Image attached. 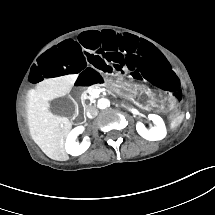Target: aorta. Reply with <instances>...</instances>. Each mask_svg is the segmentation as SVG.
<instances>
[{"label": "aorta", "instance_id": "762f6f07", "mask_svg": "<svg viewBox=\"0 0 215 215\" xmlns=\"http://www.w3.org/2000/svg\"><path fill=\"white\" fill-rule=\"evenodd\" d=\"M110 105H111V102L108 98H100L98 100V107L100 109H106V108L110 107Z\"/></svg>", "mask_w": 215, "mask_h": 215}]
</instances>
